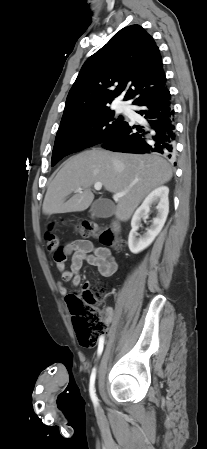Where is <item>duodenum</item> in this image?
<instances>
[{
	"mask_svg": "<svg viewBox=\"0 0 207 449\" xmlns=\"http://www.w3.org/2000/svg\"><path fill=\"white\" fill-rule=\"evenodd\" d=\"M111 229L113 232L118 233L120 231V224L118 222H113Z\"/></svg>",
	"mask_w": 207,
	"mask_h": 449,
	"instance_id": "410a0bca",
	"label": "duodenum"
}]
</instances>
